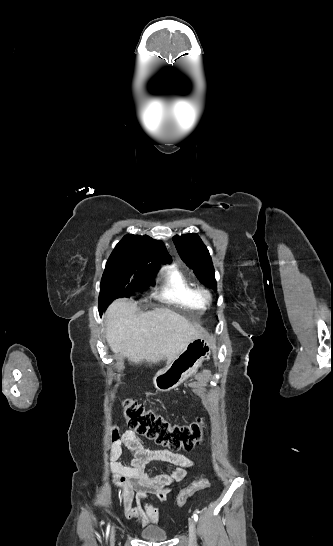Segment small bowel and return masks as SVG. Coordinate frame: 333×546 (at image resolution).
<instances>
[{"label": "small bowel", "mask_w": 333, "mask_h": 546, "mask_svg": "<svg viewBox=\"0 0 333 546\" xmlns=\"http://www.w3.org/2000/svg\"><path fill=\"white\" fill-rule=\"evenodd\" d=\"M122 445H125L133 453V460L129 466L118 462ZM151 461L170 463L175 465L176 469L170 474H150L146 472L145 466ZM192 465L193 461L184 454L146 448L136 439L132 430H125L121 438L115 441L110 449V469L113 473V483L118 487L129 488L124 501L125 517L135 519L141 525L157 523L159 513L154 507L146 505L147 496L155 494L161 503H166L168 488L181 481L186 475V468Z\"/></svg>", "instance_id": "c3829d8e"}]
</instances>
